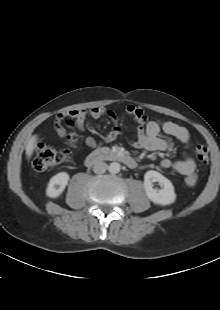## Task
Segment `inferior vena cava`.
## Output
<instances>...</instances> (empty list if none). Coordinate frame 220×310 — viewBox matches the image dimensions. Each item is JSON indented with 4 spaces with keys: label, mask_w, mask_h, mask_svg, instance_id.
<instances>
[{
    "label": "inferior vena cava",
    "mask_w": 220,
    "mask_h": 310,
    "mask_svg": "<svg viewBox=\"0 0 220 310\" xmlns=\"http://www.w3.org/2000/svg\"><path fill=\"white\" fill-rule=\"evenodd\" d=\"M108 166L105 162L103 161H99V162H96L93 166V171L94 173L96 174H103L106 172Z\"/></svg>",
    "instance_id": "602c4592"
}]
</instances>
